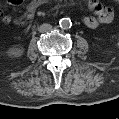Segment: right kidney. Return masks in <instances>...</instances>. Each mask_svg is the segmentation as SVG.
<instances>
[{
    "label": "right kidney",
    "instance_id": "ca27d5eb",
    "mask_svg": "<svg viewBox=\"0 0 119 119\" xmlns=\"http://www.w3.org/2000/svg\"><path fill=\"white\" fill-rule=\"evenodd\" d=\"M22 53H23V48L21 47H14L11 48L9 51V55L12 57H19L22 55Z\"/></svg>",
    "mask_w": 119,
    "mask_h": 119
}]
</instances>
